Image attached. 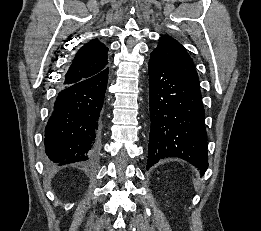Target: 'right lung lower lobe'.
Listing matches in <instances>:
<instances>
[{"label":"right lung lower lobe","instance_id":"1","mask_svg":"<svg viewBox=\"0 0 261 231\" xmlns=\"http://www.w3.org/2000/svg\"><path fill=\"white\" fill-rule=\"evenodd\" d=\"M107 82L105 67L58 93L45 130L48 165L87 161L97 154Z\"/></svg>","mask_w":261,"mask_h":231}]
</instances>
